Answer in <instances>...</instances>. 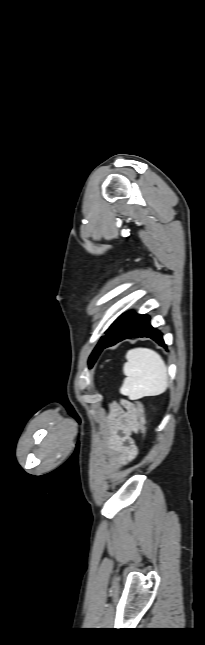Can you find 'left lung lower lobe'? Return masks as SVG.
<instances>
[{"instance_id":"left-lung-lower-lobe-1","label":"left lung lower lobe","mask_w":205,"mask_h":645,"mask_svg":"<svg viewBox=\"0 0 205 645\" xmlns=\"http://www.w3.org/2000/svg\"><path fill=\"white\" fill-rule=\"evenodd\" d=\"M138 337L151 338L159 345L166 347L162 338V333L150 325L149 316L140 315L130 311L124 313L111 325L109 330L106 332V336L103 337L100 343L97 357L104 348L113 346L124 339ZM96 359L92 362L90 367L95 363Z\"/></svg>"}]
</instances>
